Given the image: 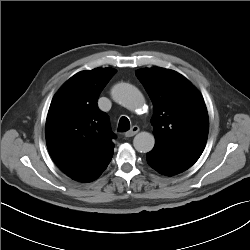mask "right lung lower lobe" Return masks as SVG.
I'll list each match as a JSON object with an SVG mask.
<instances>
[{
	"label": "right lung lower lobe",
	"instance_id": "right-lung-lower-lobe-1",
	"mask_svg": "<svg viewBox=\"0 0 250 250\" xmlns=\"http://www.w3.org/2000/svg\"><path fill=\"white\" fill-rule=\"evenodd\" d=\"M113 153L108 155L105 159H103L99 164L92 167L87 172L83 173L82 175L74 178V180L79 182H90L95 180L97 177L101 175V173L106 169L109 162L111 161Z\"/></svg>",
	"mask_w": 250,
	"mask_h": 250
}]
</instances>
